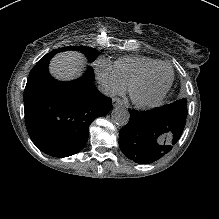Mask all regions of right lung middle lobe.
I'll use <instances>...</instances> for the list:
<instances>
[{"mask_svg": "<svg viewBox=\"0 0 219 219\" xmlns=\"http://www.w3.org/2000/svg\"><path fill=\"white\" fill-rule=\"evenodd\" d=\"M65 50H78L82 52L88 58L90 62H93L98 56L97 51L93 50L91 47H85V46H74V47H65L61 49H56L46 54L45 56H52L58 52L65 51Z\"/></svg>", "mask_w": 219, "mask_h": 219, "instance_id": "1", "label": "right lung middle lobe"}]
</instances>
